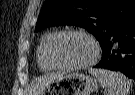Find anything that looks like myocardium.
Segmentation results:
<instances>
[{"mask_svg":"<svg viewBox=\"0 0 135 95\" xmlns=\"http://www.w3.org/2000/svg\"><path fill=\"white\" fill-rule=\"evenodd\" d=\"M65 35H79V36L86 38L93 47L92 57L88 61H86L82 64H77V65H65V64H61V63L57 62L53 56V47H54L55 43L57 42V40H59L61 37L65 36ZM99 54H100V48H99L97 41L87 32L82 31V30H77V29H68V30H63V31L57 32L49 41L47 49H46V58H47L49 64L56 69L68 70V71L81 70V69H85V68L93 65L96 62V60L98 59Z\"/></svg>","mask_w":135,"mask_h":95,"instance_id":"f54148a6","label":"myocardium"}]
</instances>
